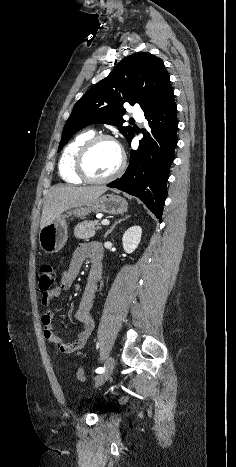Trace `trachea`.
Instances as JSON below:
<instances>
[{
	"label": "trachea",
	"instance_id": "trachea-1",
	"mask_svg": "<svg viewBox=\"0 0 236 467\" xmlns=\"http://www.w3.org/2000/svg\"><path fill=\"white\" fill-rule=\"evenodd\" d=\"M130 122H134V119H131Z\"/></svg>",
	"mask_w": 236,
	"mask_h": 467
}]
</instances>
